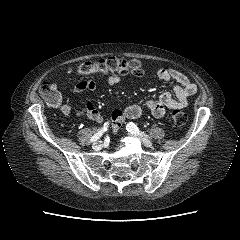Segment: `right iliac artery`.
Instances as JSON below:
<instances>
[{
	"mask_svg": "<svg viewBox=\"0 0 240 240\" xmlns=\"http://www.w3.org/2000/svg\"><path fill=\"white\" fill-rule=\"evenodd\" d=\"M108 125H109L108 122L105 123V124H104V127H103L101 130L97 131V133H95L94 136H92V138L90 139V141H91V142L97 141V140L102 136V134H103L105 131H107Z\"/></svg>",
	"mask_w": 240,
	"mask_h": 240,
	"instance_id": "obj_1",
	"label": "right iliac artery"
}]
</instances>
